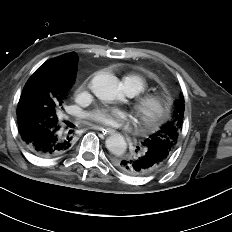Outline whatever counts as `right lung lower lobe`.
Listing matches in <instances>:
<instances>
[{
  "label": "right lung lower lobe",
  "mask_w": 232,
  "mask_h": 232,
  "mask_svg": "<svg viewBox=\"0 0 232 232\" xmlns=\"http://www.w3.org/2000/svg\"><path fill=\"white\" fill-rule=\"evenodd\" d=\"M66 129L61 126L47 129L37 125L36 128L19 133L30 152L41 157H54L68 151L73 144L74 137Z\"/></svg>",
  "instance_id": "obj_1"
}]
</instances>
